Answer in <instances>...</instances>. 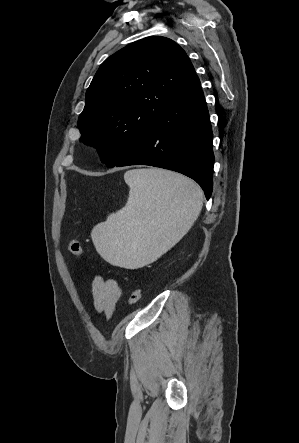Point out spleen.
I'll return each instance as SVG.
<instances>
[{
    "label": "spleen",
    "mask_w": 299,
    "mask_h": 443,
    "mask_svg": "<svg viewBox=\"0 0 299 443\" xmlns=\"http://www.w3.org/2000/svg\"><path fill=\"white\" fill-rule=\"evenodd\" d=\"M124 180L130 188L126 206L97 224L91 238L105 261L136 269L190 230L202 209L203 192L189 178L157 168L129 170Z\"/></svg>",
    "instance_id": "3e777b00"
}]
</instances>
